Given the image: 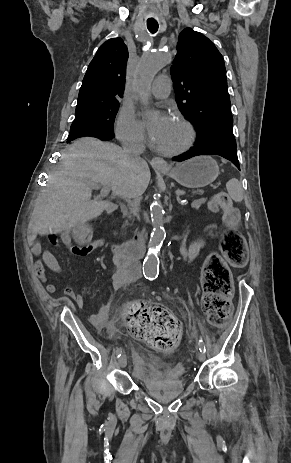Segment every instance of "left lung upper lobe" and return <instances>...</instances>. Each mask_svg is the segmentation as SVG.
<instances>
[{"label": "left lung upper lobe", "instance_id": "1", "mask_svg": "<svg viewBox=\"0 0 291 463\" xmlns=\"http://www.w3.org/2000/svg\"><path fill=\"white\" fill-rule=\"evenodd\" d=\"M171 75L180 111L200 142L236 147L223 56L212 41L191 28L177 44Z\"/></svg>", "mask_w": 291, "mask_h": 463}]
</instances>
